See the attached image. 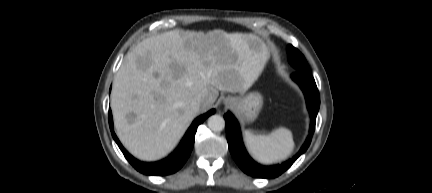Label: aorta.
Returning <instances> with one entry per match:
<instances>
[{
	"label": "aorta",
	"instance_id": "aorta-1",
	"mask_svg": "<svg viewBox=\"0 0 432 193\" xmlns=\"http://www.w3.org/2000/svg\"><path fill=\"white\" fill-rule=\"evenodd\" d=\"M208 127L214 132H220L225 127V120L220 115H212L208 118Z\"/></svg>",
	"mask_w": 432,
	"mask_h": 193
}]
</instances>
